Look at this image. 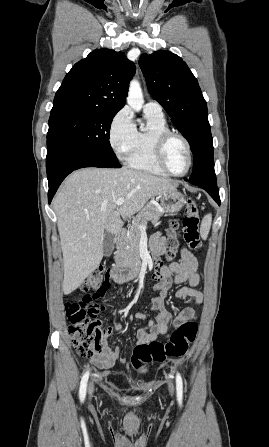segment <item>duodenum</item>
Here are the masks:
<instances>
[{
    "mask_svg": "<svg viewBox=\"0 0 269 447\" xmlns=\"http://www.w3.org/2000/svg\"><path fill=\"white\" fill-rule=\"evenodd\" d=\"M125 229H120L116 233V240L124 237ZM140 273V261L138 259L128 263L116 265L111 269L110 275L117 283L136 278Z\"/></svg>",
    "mask_w": 269,
    "mask_h": 447,
    "instance_id": "1",
    "label": "duodenum"
}]
</instances>
